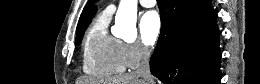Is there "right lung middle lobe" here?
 I'll return each mask as SVG.
<instances>
[{"instance_id":"obj_1","label":"right lung middle lobe","mask_w":260,"mask_h":84,"mask_svg":"<svg viewBox=\"0 0 260 84\" xmlns=\"http://www.w3.org/2000/svg\"><path fill=\"white\" fill-rule=\"evenodd\" d=\"M84 31L85 30H83V31L79 32L78 34H76V45H79L81 43V39L83 37Z\"/></svg>"}]
</instances>
